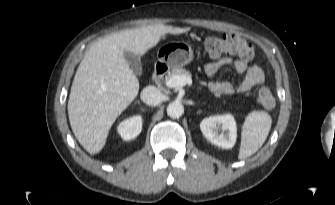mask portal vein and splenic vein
I'll return each instance as SVG.
<instances>
[{"instance_id": "portal-vein-and-splenic-vein-1", "label": "portal vein and splenic vein", "mask_w": 335, "mask_h": 205, "mask_svg": "<svg viewBox=\"0 0 335 205\" xmlns=\"http://www.w3.org/2000/svg\"><path fill=\"white\" fill-rule=\"evenodd\" d=\"M185 85H192V79L188 76H174L166 81V86L169 88L182 87Z\"/></svg>"}]
</instances>
